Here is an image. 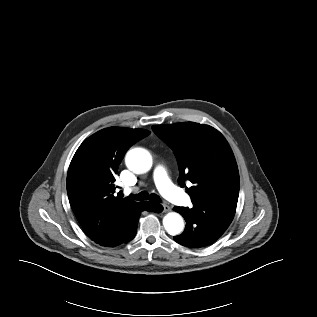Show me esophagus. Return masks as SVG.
Returning a JSON list of instances; mask_svg holds the SVG:
<instances>
[{
	"instance_id": "34e87169",
	"label": "esophagus",
	"mask_w": 317,
	"mask_h": 317,
	"mask_svg": "<svg viewBox=\"0 0 317 317\" xmlns=\"http://www.w3.org/2000/svg\"><path fill=\"white\" fill-rule=\"evenodd\" d=\"M170 207L167 205V204H163V210H164V212H168V211H170Z\"/></svg>"
}]
</instances>
